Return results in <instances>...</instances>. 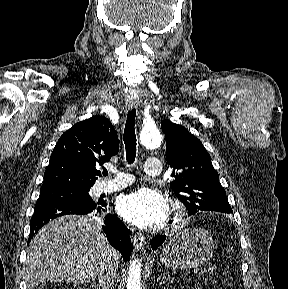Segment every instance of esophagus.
I'll use <instances>...</instances> for the list:
<instances>
[{
    "label": "esophagus",
    "mask_w": 288,
    "mask_h": 289,
    "mask_svg": "<svg viewBox=\"0 0 288 289\" xmlns=\"http://www.w3.org/2000/svg\"><path fill=\"white\" fill-rule=\"evenodd\" d=\"M136 107H137L136 102H134V101H127L126 102V109L127 110H132ZM132 241H133V245L137 251H140V252L144 251L146 242H145V238L142 235L134 233L132 235Z\"/></svg>",
    "instance_id": "1"
}]
</instances>
